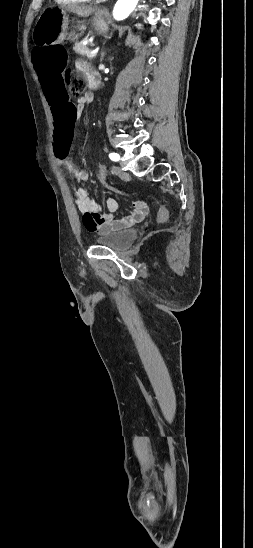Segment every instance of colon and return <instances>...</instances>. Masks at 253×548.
I'll return each mask as SVG.
<instances>
[{
  "mask_svg": "<svg viewBox=\"0 0 253 548\" xmlns=\"http://www.w3.org/2000/svg\"><path fill=\"white\" fill-rule=\"evenodd\" d=\"M34 64L39 72L41 86L44 87L46 104L51 105L53 115V143L52 152L57 159L70 156L69 141L75 134L74 124L77 120V111L73 98H70L66 89L64 71L67 67V53L62 46L55 45L40 48L33 53ZM67 84L72 96H80L86 88L83 75L68 71ZM96 170L95 178L106 183L104 188L111 193H118L120 188L112 182L114 179L106 169H100L96 162L92 164ZM168 211L164 206H159L158 217L161 221L168 219Z\"/></svg>",
  "mask_w": 253,
  "mask_h": 548,
  "instance_id": "1",
  "label": "colon"
}]
</instances>
